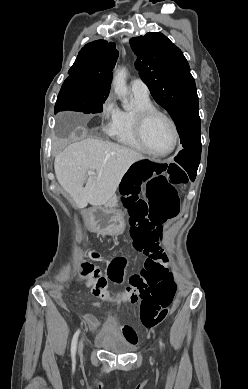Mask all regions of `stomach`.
Returning <instances> with one entry per match:
<instances>
[{
  "instance_id": "1",
  "label": "stomach",
  "mask_w": 248,
  "mask_h": 389,
  "mask_svg": "<svg viewBox=\"0 0 248 389\" xmlns=\"http://www.w3.org/2000/svg\"><path fill=\"white\" fill-rule=\"evenodd\" d=\"M88 215L98 235H121L124 233L122 207H94Z\"/></svg>"
}]
</instances>
